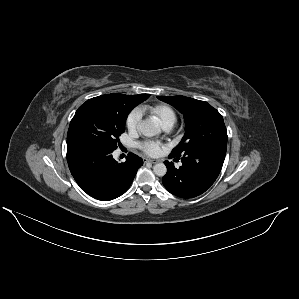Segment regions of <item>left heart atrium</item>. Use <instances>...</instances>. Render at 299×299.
I'll return each mask as SVG.
<instances>
[{"mask_svg":"<svg viewBox=\"0 0 299 299\" xmlns=\"http://www.w3.org/2000/svg\"><path fill=\"white\" fill-rule=\"evenodd\" d=\"M140 149L147 155L155 157L161 154L164 146L157 141H144L139 144Z\"/></svg>","mask_w":299,"mask_h":299,"instance_id":"left-heart-atrium-1","label":"left heart atrium"}]
</instances>
